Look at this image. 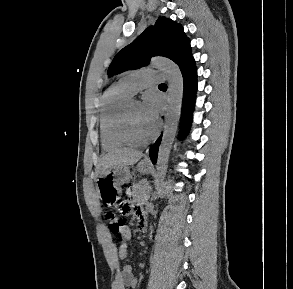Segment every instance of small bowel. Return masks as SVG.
Instances as JSON below:
<instances>
[{
  "label": "small bowel",
  "instance_id": "1",
  "mask_svg": "<svg viewBox=\"0 0 293 289\" xmlns=\"http://www.w3.org/2000/svg\"><path fill=\"white\" fill-rule=\"evenodd\" d=\"M140 222L145 219L144 214L140 211L137 215ZM131 238V230L129 226H125L123 235L118 248V256L124 260L128 257V241ZM137 278L134 276L131 265H125L118 276V289H135L137 286Z\"/></svg>",
  "mask_w": 293,
  "mask_h": 289
}]
</instances>
